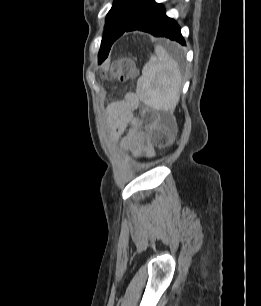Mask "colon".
<instances>
[{
  "instance_id": "obj_1",
  "label": "colon",
  "mask_w": 261,
  "mask_h": 306,
  "mask_svg": "<svg viewBox=\"0 0 261 306\" xmlns=\"http://www.w3.org/2000/svg\"><path fill=\"white\" fill-rule=\"evenodd\" d=\"M112 74L121 79H128L134 74V65L129 60H119L113 66ZM144 122L151 130L152 143L159 148L166 147L171 138L168 125L160 124L159 120L152 115H146Z\"/></svg>"
}]
</instances>
